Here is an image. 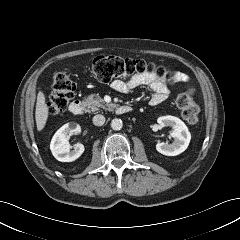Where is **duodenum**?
I'll return each mask as SVG.
<instances>
[{
  "label": "duodenum",
  "mask_w": 240,
  "mask_h": 240,
  "mask_svg": "<svg viewBox=\"0 0 240 240\" xmlns=\"http://www.w3.org/2000/svg\"><path fill=\"white\" fill-rule=\"evenodd\" d=\"M83 104L80 100L75 99L69 105V111L75 116H79L83 113ZM132 111V107L128 105H121L116 108L117 114H126Z\"/></svg>",
  "instance_id": "1"
}]
</instances>
